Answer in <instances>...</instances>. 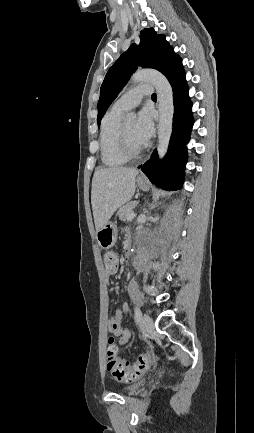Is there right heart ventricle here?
Returning a JSON list of instances; mask_svg holds the SVG:
<instances>
[{
	"label": "right heart ventricle",
	"instance_id": "right-heart-ventricle-1",
	"mask_svg": "<svg viewBox=\"0 0 254 433\" xmlns=\"http://www.w3.org/2000/svg\"><path fill=\"white\" fill-rule=\"evenodd\" d=\"M123 112L108 111L102 121L99 134L101 161L108 167H119L128 162L119 144L120 117Z\"/></svg>",
	"mask_w": 254,
	"mask_h": 433
}]
</instances>
